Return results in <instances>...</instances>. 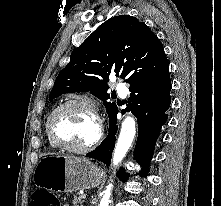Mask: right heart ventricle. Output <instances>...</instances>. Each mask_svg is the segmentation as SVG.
I'll use <instances>...</instances> for the list:
<instances>
[{"mask_svg":"<svg viewBox=\"0 0 221 206\" xmlns=\"http://www.w3.org/2000/svg\"><path fill=\"white\" fill-rule=\"evenodd\" d=\"M45 130H46V126H45ZM46 134H47V132H46ZM50 142V141H49ZM50 144H51V142H50ZM52 145V144H51ZM52 146H54V145H52Z\"/></svg>","mask_w":221,"mask_h":206,"instance_id":"1","label":"right heart ventricle"}]
</instances>
